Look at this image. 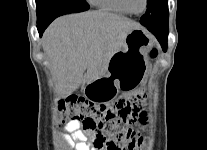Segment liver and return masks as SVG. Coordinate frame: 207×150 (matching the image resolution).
Instances as JSON below:
<instances>
[{
  "label": "liver",
  "mask_w": 207,
  "mask_h": 150,
  "mask_svg": "<svg viewBox=\"0 0 207 150\" xmlns=\"http://www.w3.org/2000/svg\"><path fill=\"white\" fill-rule=\"evenodd\" d=\"M140 24L124 16L90 11L57 18L45 31L42 46L57 81L68 96L83 83L104 77L112 56Z\"/></svg>",
  "instance_id": "1"
}]
</instances>
